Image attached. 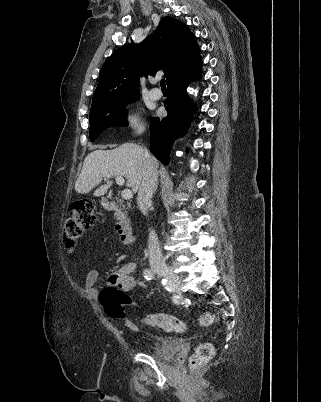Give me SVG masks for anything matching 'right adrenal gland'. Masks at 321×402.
<instances>
[{
	"label": "right adrenal gland",
	"instance_id": "right-adrenal-gland-1",
	"mask_svg": "<svg viewBox=\"0 0 321 402\" xmlns=\"http://www.w3.org/2000/svg\"><path fill=\"white\" fill-rule=\"evenodd\" d=\"M157 188H158V183L155 186L154 192H156Z\"/></svg>",
	"mask_w": 321,
	"mask_h": 402
}]
</instances>
